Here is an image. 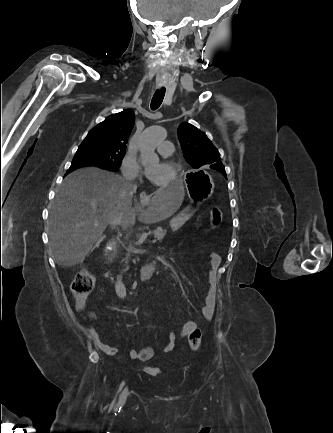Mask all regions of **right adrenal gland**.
Returning <instances> with one entry per match:
<instances>
[{
  "label": "right adrenal gland",
  "instance_id": "2a0ac1e0",
  "mask_svg": "<svg viewBox=\"0 0 333 433\" xmlns=\"http://www.w3.org/2000/svg\"><path fill=\"white\" fill-rule=\"evenodd\" d=\"M105 238V236H103L102 238H101V240H103ZM99 246V242H97L96 243V245L91 249V252L95 249V248H97Z\"/></svg>",
  "mask_w": 333,
  "mask_h": 433
}]
</instances>
